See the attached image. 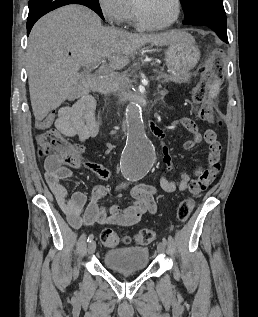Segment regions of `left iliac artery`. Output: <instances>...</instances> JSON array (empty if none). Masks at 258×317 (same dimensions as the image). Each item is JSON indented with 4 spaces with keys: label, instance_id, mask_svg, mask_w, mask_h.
I'll return each mask as SVG.
<instances>
[{
    "label": "left iliac artery",
    "instance_id": "44dca946",
    "mask_svg": "<svg viewBox=\"0 0 258 317\" xmlns=\"http://www.w3.org/2000/svg\"><path fill=\"white\" fill-rule=\"evenodd\" d=\"M134 180H138V178L137 177H135L134 178ZM162 242H163V244L166 246L167 245V239H166V237L165 236H163V238H162Z\"/></svg>",
    "mask_w": 258,
    "mask_h": 317
}]
</instances>
